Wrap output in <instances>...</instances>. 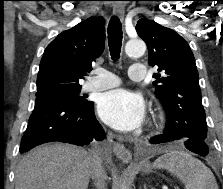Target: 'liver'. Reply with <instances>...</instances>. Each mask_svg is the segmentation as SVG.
Segmentation results:
<instances>
[{"label": "liver", "mask_w": 223, "mask_h": 189, "mask_svg": "<svg viewBox=\"0 0 223 189\" xmlns=\"http://www.w3.org/2000/svg\"><path fill=\"white\" fill-rule=\"evenodd\" d=\"M92 167V155L77 146H38L17 166L15 189H87Z\"/></svg>", "instance_id": "1"}]
</instances>
